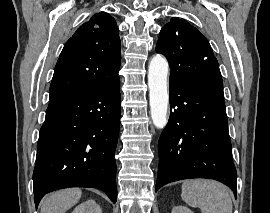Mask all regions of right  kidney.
Masks as SVG:
<instances>
[{
    "instance_id": "1",
    "label": "right kidney",
    "mask_w": 270,
    "mask_h": 213,
    "mask_svg": "<svg viewBox=\"0 0 270 213\" xmlns=\"http://www.w3.org/2000/svg\"><path fill=\"white\" fill-rule=\"evenodd\" d=\"M71 213H102V210L94 200H87L76 206Z\"/></svg>"
}]
</instances>
